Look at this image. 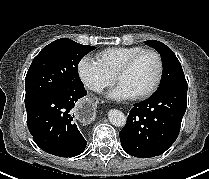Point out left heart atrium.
<instances>
[{"instance_id":"obj_1","label":"left heart atrium","mask_w":209,"mask_h":179,"mask_svg":"<svg viewBox=\"0 0 209 179\" xmlns=\"http://www.w3.org/2000/svg\"><path fill=\"white\" fill-rule=\"evenodd\" d=\"M107 97L112 100H125L131 98L132 95L122 85L118 84L107 94Z\"/></svg>"}]
</instances>
